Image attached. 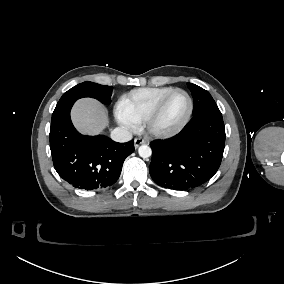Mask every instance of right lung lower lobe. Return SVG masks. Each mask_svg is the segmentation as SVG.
Returning a JSON list of instances; mask_svg holds the SVG:
<instances>
[{
    "label": "right lung lower lobe",
    "mask_w": 284,
    "mask_h": 284,
    "mask_svg": "<svg viewBox=\"0 0 284 284\" xmlns=\"http://www.w3.org/2000/svg\"><path fill=\"white\" fill-rule=\"evenodd\" d=\"M73 104L56 107L52 114L50 149L54 168L75 188L110 187L119 178L125 158L134 152V141L118 143L103 135H81L70 119Z\"/></svg>",
    "instance_id": "98d812e1"
}]
</instances>
